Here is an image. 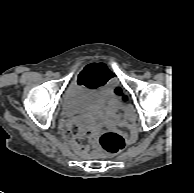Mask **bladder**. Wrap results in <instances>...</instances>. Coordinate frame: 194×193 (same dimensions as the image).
<instances>
[{"label":"bladder","instance_id":"1","mask_svg":"<svg viewBox=\"0 0 194 193\" xmlns=\"http://www.w3.org/2000/svg\"><path fill=\"white\" fill-rule=\"evenodd\" d=\"M87 87L83 83H77L68 92L65 101H70L74 104H80L85 101L87 97Z\"/></svg>","mask_w":194,"mask_h":193}]
</instances>
